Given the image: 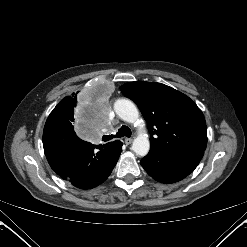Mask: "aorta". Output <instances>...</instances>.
Wrapping results in <instances>:
<instances>
[{
    "label": "aorta",
    "mask_w": 247,
    "mask_h": 247,
    "mask_svg": "<svg viewBox=\"0 0 247 247\" xmlns=\"http://www.w3.org/2000/svg\"><path fill=\"white\" fill-rule=\"evenodd\" d=\"M116 114L128 123H135L139 120V111L135 104L128 99H118L114 103ZM143 126V125H142ZM150 149V142L147 134L140 132L133 140L132 150L138 156H146Z\"/></svg>",
    "instance_id": "1"
}]
</instances>
